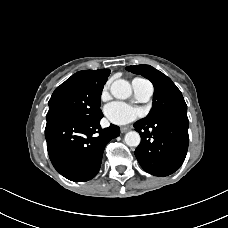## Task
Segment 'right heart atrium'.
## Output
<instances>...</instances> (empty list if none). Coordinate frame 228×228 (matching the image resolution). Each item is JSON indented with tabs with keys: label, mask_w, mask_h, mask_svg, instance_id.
<instances>
[{
	"label": "right heart atrium",
	"mask_w": 228,
	"mask_h": 228,
	"mask_svg": "<svg viewBox=\"0 0 228 228\" xmlns=\"http://www.w3.org/2000/svg\"><path fill=\"white\" fill-rule=\"evenodd\" d=\"M109 87H110V84L109 83H106L102 89V92H101V98L102 99H105L108 94H109Z\"/></svg>",
	"instance_id": "d8ad5b80"
}]
</instances>
